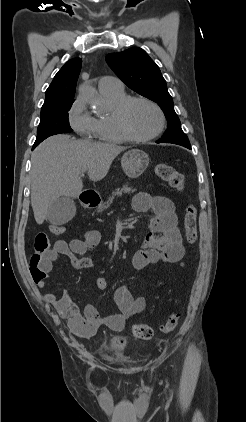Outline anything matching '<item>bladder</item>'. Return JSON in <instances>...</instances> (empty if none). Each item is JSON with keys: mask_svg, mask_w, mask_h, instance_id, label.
Returning <instances> with one entry per match:
<instances>
[{"mask_svg": "<svg viewBox=\"0 0 246 422\" xmlns=\"http://www.w3.org/2000/svg\"><path fill=\"white\" fill-rule=\"evenodd\" d=\"M109 352L110 353H117L123 350V345L119 343L117 340H112L109 345Z\"/></svg>", "mask_w": 246, "mask_h": 422, "instance_id": "31cf9c89", "label": "bladder"}]
</instances>
